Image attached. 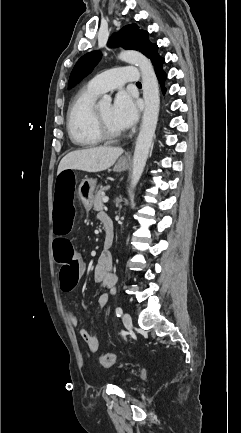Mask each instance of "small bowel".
Returning a JSON list of instances; mask_svg holds the SVG:
<instances>
[{"label": "small bowel", "mask_w": 241, "mask_h": 433, "mask_svg": "<svg viewBox=\"0 0 241 433\" xmlns=\"http://www.w3.org/2000/svg\"><path fill=\"white\" fill-rule=\"evenodd\" d=\"M71 172H74L73 169ZM57 178V177H56ZM56 185V183H55ZM56 188V186H55ZM106 215L105 213L101 212L98 214V218L101 221L103 216ZM57 239V238H56ZM113 267V261L112 257L109 253L104 254L103 252L100 254L98 258V262L94 269V280L97 284H99L103 288H108L111 290V292L115 291V285L117 282L116 275L112 272ZM61 278V275H60ZM109 302V295L108 294H101L98 297V306L101 309H104L107 307ZM69 321L73 326L79 325V319L77 315L74 313H69L68 315ZM80 336L83 339V341L87 344L88 349L95 353L99 350V340L98 338L91 334L89 331H87L84 328H81Z\"/></svg>", "instance_id": "1"}]
</instances>
